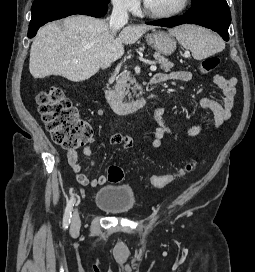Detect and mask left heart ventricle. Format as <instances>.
Here are the masks:
<instances>
[{
  "label": "left heart ventricle",
  "instance_id": "1",
  "mask_svg": "<svg viewBox=\"0 0 255 272\" xmlns=\"http://www.w3.org/2000/svg\"><path fill=\"white\" fill-rule=\"evenodd\" d=\"M183 0H146V5L153 12H167L178 8Z\"/></svg>",
  "mask_w": 255,
  "mask_h": 272
}]
</instances>
